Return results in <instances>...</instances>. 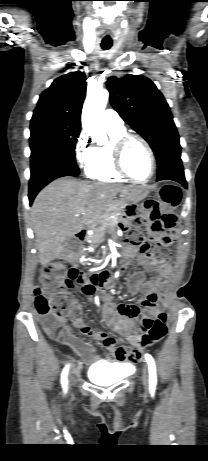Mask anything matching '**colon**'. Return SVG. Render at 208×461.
Returning <instances> with one entry per match:
<instances>
[{"instance_id":"1","label":"colon","mask_w":208,"mask_h":461,"mask_svg":"<svg viewBox=\"0 0 208 461\" xmlns=\"http://www.w3.org/2000/svg\"><path fill=\"white\" fill-rule=\"evenodd\" d=\"M182 192L174 185H164L159 192V199H148L141 209V216L136 217V224L140 230L134 231L129 236L130 244L140 248L141 252L152 251L156 263L167 260L166 249L160 248V235L162 229H172L178 224V215L174 212L181 203ZM149 228L151 234L157 238L152 243L145 236V229ZM83 277L89 273L77 268H66L62 262H53L42 268L40 283L34 290L35 307L42 317L47 334L58 340H68V333L59 324V318H78L81 307L74 295L69 291L75 283H81ZM127 306L125 311L127 310ZM145 330L139 340H129V347L135 354L141 349L148 348L159 342L167 333V317L164 313L157 317L144 319Z\"/></svg>"}]
</instances>
